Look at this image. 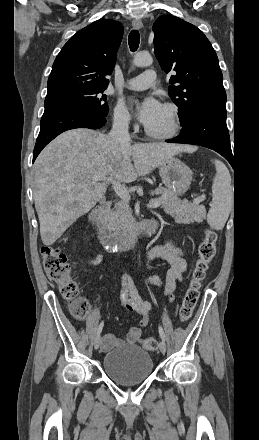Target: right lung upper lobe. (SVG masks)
Wrapping results in <instances>:
<instances>
[{"instance_id": "cb5924a9", "label": "right lung upper lobe", "mask_w": 259, "mask_h": 440, "mask_svg": "<svg viewBox=\"0 0 259 440\" xmlns=\"http://www.w3.org/2000/svg\"><path fill=\"white\" fill-rule=\"evenodd\" d=\"M123 26L100 19L78 31L57 55L48 78L47 94L69 88L106 89L113 71Z\"/></svg>"}]
</instances>
